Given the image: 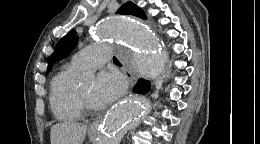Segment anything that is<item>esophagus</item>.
Instances as JSON below:
<instances>
[{"label": "esophagus", "instance_id": "34e87169", "mask_svg": "<svg viewBox=\"0 0 260 144\" xmlns=\"http://www.w3.org/2000/svg\"><path fill=\"white\" fill-rule=\"evenodd\" d=\"M123 71L125 76L129 79L130 86L132 87L136 82V76L134 75V73L130 72L125 66L123 67ZM98 126H99V122H94L90 125V130L97 131Z\"/></svg>", "mask_w": 260, "mask_h": 144}]
</instances>
